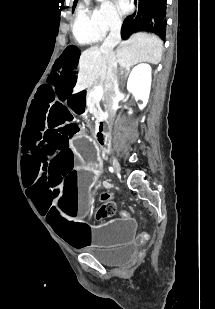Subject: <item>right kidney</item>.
<instances>
[{"instance_id":"obj_1","label":"right kidney","mask_w":215,"mask_h":309,"mask_svg":"<svg viewBox=\"0 0 215 309\" xmlns=\"http://www.w3.org/2000/svg\"><path fill=\"white\" fill-rule=\"evenodd\" d=\"M151 72L152 68L150 64H137L131 70L127 82V88L134 94L136 100H143V104H138L139 108H144L148 102L150 88H151ZM129 114H132V110H129Z\"/></svg>"}]
</instances>
